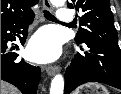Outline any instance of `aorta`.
<instances>
[{"instance_id": "aorta-1", "label": "aorta", "mask_w": 121, "mask_h": 94, "mask_svg": "<svg viewBox=\"0 0 121 94\" xmlns=\"http://www.w3.org/2000/svg\"><path fill=\"white\" fill-rule=\"evenodd\" d=\"M51 3L56 7H62L65 0H51ZM64 92V78L62 75L57 74L51 82L50 94H63Z\"/></svg>"}]
</instances>
